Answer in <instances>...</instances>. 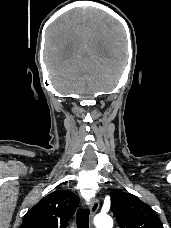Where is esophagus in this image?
<instances>
[{"label":"esophagus","mask_w":171,"mask_h":228,"mask_svg":"<svg viewBox=\"0 0 171 228\" xmlns=\"http://www.w3.org/2000/svg\"><path fill=\"white\" fill-rule=\"evenodd\" d=\"M98 209H99V200L97 198H94L90 205L91 223H92V219H93L94 215L96 214V212L98 211ZM91 228H93V226H91Z\"/></svg>","instance_id":"esophagus-1"}]
</instances>
